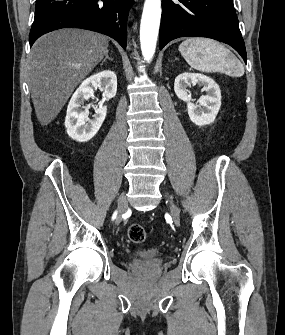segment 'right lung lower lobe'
Instances as JSON below:
<instances>
[{"label":"right lung lower lobe","instance_id":"right-lung-lower-lobe-1","mask_svg":"<svg viewBox=\"0 0 285 335\" xmlns=\"http://www.w3.org/2000/svg\"><path fill=\"white\" fill-rule=\"evenodd\" d=\"M134 0H36L30 31L32 44L43 34L68 27L97 31L125 49L127 16Z\"/></svg>","mask_w":285,"mask_h":335}]
</instances>
